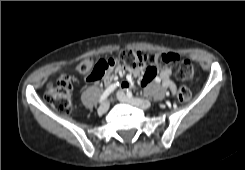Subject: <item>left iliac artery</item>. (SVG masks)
<instances>
[{
  "label": "left iliac artery",
  "instance_id": "44dca946",
  "mask_svg": "<svg viewBox=\"0 0 245 170\" xmlns=\"http://www.w3.org/2000/svg\"><path fill=\"white\" fill-rule=\"evenodd\" d=\"M127 96L128 97H132L133 96L132 92L131 91H127Z\"/></svg>",
  "mask_w": 245,
  "mask_h": 170
}]
</instances>
